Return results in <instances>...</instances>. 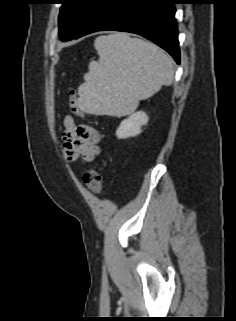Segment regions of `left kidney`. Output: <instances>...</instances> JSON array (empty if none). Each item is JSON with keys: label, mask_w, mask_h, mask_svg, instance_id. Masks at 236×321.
Wrapping results in <instances>:
<instances>
[{"label": "left kidney", "mask_w": 236, "mask_h": 321, "mask_svg": "<svg viewBox=\"0 0 236 321\" xmlns=\"http://www.w3.org/2000/svg\"><path fill=\"white\" fill-rule=\"evenodd\" d=\"M148 122V116L143 111H138L124 119L116 131L119 139L133 137L141 133V127Z\"/></svg>", "instance_id": "1"}]
</instances>
